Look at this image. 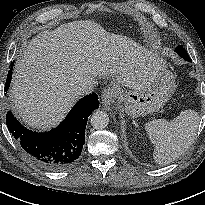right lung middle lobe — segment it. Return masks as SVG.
Listing matches in <instances>:
<instances>
[{"label": "right lung middle lobe", "mask_w": 205, "mask_h": 205, "mask_svg": "<svg viewBox=\"0 0 205 205\" xmlns=\"http://www.w3.org/2000/svg\"><path fill=\"white\" fill-rule=\"evenodd\" d=\"M11 68H13V64H11ZM7 79H8V80H6L5 91L8 90V88H9V84H10V81H11V78H8V77H7Z\"/></svg>", "instance_id": "dd1d6c3e"}]
</instances>
